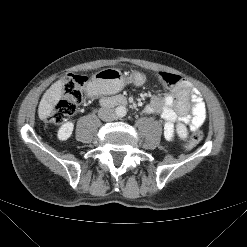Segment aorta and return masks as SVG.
I'll use <instances>...</instances> for the list:
<instances>
[{"mask_svg": "<svg viewBox=\"0 0 247 247\" xmlns=\"http://www.w3.org/2000/svg\"><path fill=\"white\" fill-rule=\"evenodd\" d=\"M115 113L117 117H124L127 114V109L125 106H118L115 109Z\"/></svg>", "mask_w": 247, "mask_h": 247, "instance_id": "aorta-1", "label": "aorta"}]
</instances>
